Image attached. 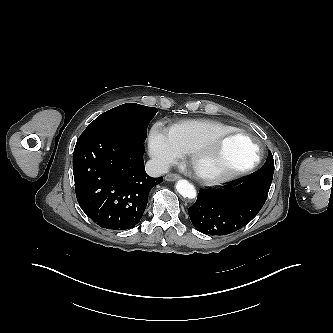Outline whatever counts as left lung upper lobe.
Wrapping results in <instances>:
<instances>
[{
  "label": "left lung upper lobe",
  "instance_id": "5c2ea615",
  "mask_svg": "<svg viewBox=\"0 0 333 333\" xmlns=\"http://www.w3.org/2000/svg\"><path fill=\"white\" fill-rule=\"evenodd\" d=\"M262 168L274 170V160H273L272 153L270 151L268 152V159L266 160V162Z\"/></svg>",
  "mask_w": 333,
  "mask_h": 333
}]
</instances>
